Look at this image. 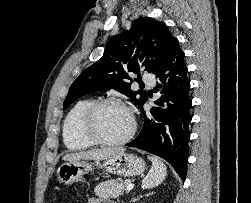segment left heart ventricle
<instances>
[{"label":"left heart ventricle","instance_id":"obj_1","mask_svg":"<svg viewBox=\"0 0 251 203\" xmlns=\"http://www.w3.org/2000/svg\"><path fill=\"white\" fill-rule=\"evenodd\" d=\"M130 127V115L121 106L107 105L101 108L96 118V130L105 139H119L127 134Z\"/></svg>","mask_w":251,"mask_h":203}]
</instances>
